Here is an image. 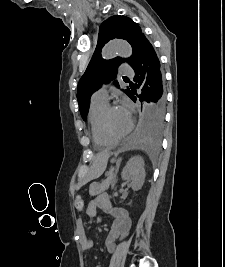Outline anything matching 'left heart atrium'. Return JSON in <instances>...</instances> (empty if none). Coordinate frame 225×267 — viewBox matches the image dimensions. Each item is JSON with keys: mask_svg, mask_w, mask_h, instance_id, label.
<instances>
[{"mask_svg": "<svg viewBox=\"0 0 225 267\" xmlns=\"http://www.w3.org/2000/svg\"><path fill=\"white\" fill-rule=\"evenodd\" d=\"M123 114L130 120V106L127 101H123L122 105L119 107Z\"/></svg>", "mask_w": 225, "mask_h": 267, "instance_id": "left-heart-atrium-1", "label": "left heart atrium"}]
</instances>
